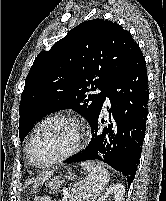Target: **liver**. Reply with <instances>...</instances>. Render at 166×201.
Returning a JSON list of instances; mask_svg holds the SVG:
<instances>
[{
  "label": "liver",
  "mask_w": 166,
  "mask_h": 201,
  "mask_svg": "<svg viewBox=\"0 0 166 201\" xmlns=\"http://www.w3.org/2000/svg\"><path fill=\"white\" fill-rule=\"evenodd\" d=\"M51 174H46L42 179H40L38 182L35 183V187L47 180L50 177Z\"/></svg>",
  "instance_id": "liver-1"
}]
</instances>
